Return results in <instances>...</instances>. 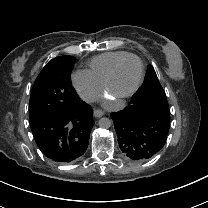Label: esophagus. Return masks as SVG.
Segmentation results:
<instances>
[{
	"mask_svg": "<svg viewBox=\"0 0 208 208\" xmlns=\"http://www.w3.org/2000/svg\"><path fill=\"white\" fill-rule=\"evenodd\" d=\"M93 114H94V117L100 118L104 115V112L101 110H94Z\"/></svg>",
	"mask_w": 208,
	"mask_h": 208,
	"instance_id": "obj_1",
	"label": "esophagus"
}]
</instances>
